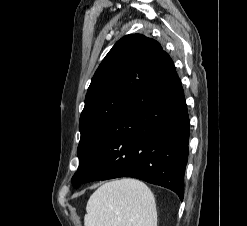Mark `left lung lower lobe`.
Segmentation results:
<instances>
[{
  "label": "left lung lower lobe",
  "instance_id": "0a47b994",
  "mask_svg": "<svg viewBox=\"0 0 247 226\" xmlns=\"http://www.w3.org/2000/svg\"><path fill=\"white\" fill-rule=\"evenodd\" d=\"M189 127L181 81L162 51L88 156L80 183L134 177L166 187L182 200Z\"/></svg>",
  "mask_w": 247,
  "mask_h": 226
}]
</instances>
